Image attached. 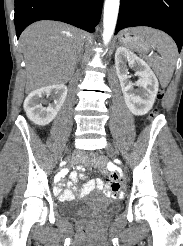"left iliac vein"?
I'll return each mask as SVG.
<instances>
[{"mask_svg":"<svg viewBox=\"0 0 183 246\" xmlns=\"http://www.w3.org/2000/svg\"><path fill=\"white\" fill-rule=\"evenodd\" d=\"M106 150L109 154H113V155L117 154L116 150L113 148V146L111 144H108Z\"/></svg>","mask_w":183,"mask_h":246,"instance_id":"obj_1","label":"left iliac vein"}]
</instances>
